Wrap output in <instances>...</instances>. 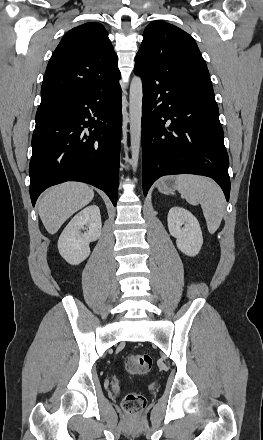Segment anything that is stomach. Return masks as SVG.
I'll return each mask as SVG.
<instances>
[{"instance_id":"stomach-1","label":"stomach","mask_w":263,"mask_h":440,"mask_svg":"<svg viewBox=\"0 0 263 440\" xmlns=\"http://www.w3.org/2000/svg\"><path fill=\"white\" fill-rule=\"evenodd\" d=\"M157 188L161 193L172 194L175 191V177H167L162 179Z\"/></svg>"}]
</instances>
